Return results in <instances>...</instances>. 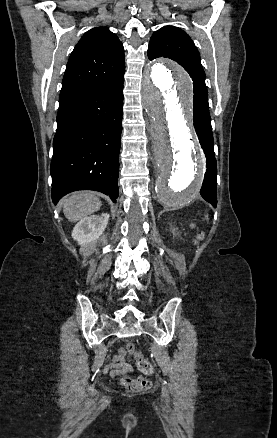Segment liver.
Segmentation results:
<instances>
[{
  "label": "liver",
  "instance_id": "obj_1",
  "mask_svg": "<svg viewBox=\"0 0 277 438\" xmlns=\"http://www.w3.org/2000/svg\"><path fill=\"white\" fill-rule=\"evenodd\" d=\"M64 216L69 222H78L100 210L102 204L91 192H75L63 200Z\"/></svg>",
  "mask_w": 277,
  "mask_h": 438
}]
</instances>
